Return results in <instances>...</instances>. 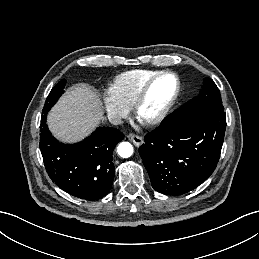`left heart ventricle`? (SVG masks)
<instances>
[{
	"label": "left heart ventricle",
	"mask_w": 259,
	"mask_h": 259,
	"mask_svg": "<svg viewBox=\"0 0 259 259\" xmlns=\"http://www.w3.org/2000/svg\"><path fill=\"white\" fill-rule=\"evenodd\" d=\"M176 88L175 79L165 76L157 80L150 88L140 108L139 118L148 120L159 114L172 98Z\"/></svg>",
	"instance_id": "1"
}]
</instances>
